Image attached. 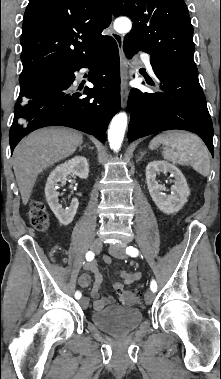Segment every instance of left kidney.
I'll use <instances>...</instances> for the list:
<instances>
[{
  "mask_svg": "<svg viewBox=\"0 0 221 379\" xmlns=\"http://www.w3.org/2000/svg\"><path fill=\"white\" fill-rule=\"evenodd\" d=\"M160 172H170L175 178L171 187V194L165 195V186L156 181ZM146 181L152 200L160 211L166 214L178 212L187 202L190 190L182 172L173 164L164 161L150 162L146 167Z\"/></svg>",
  "mask_w": 221,
  "mask_h": 379,
  "instance_id": "5707ae66",
  "label": "left kidney"
}]
</instances>
